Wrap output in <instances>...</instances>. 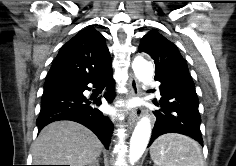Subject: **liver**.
Listing matches in <instances>:
<instances>
[{"label":"liver","instance_id":"6515ba94","mask_svg":"<svg viewBox=\"0 0 236 166\" xmlns=\"http://www.w3.org/2000/svg\"><path fill=\"white\" fill-rule=\"evenodd\" d=\"M102 143L86 127L73 121H56L42 129L33 144L34 165L91 166Z\"/></svg>","mask_w":236,"mask_h":166}]
</instances>
